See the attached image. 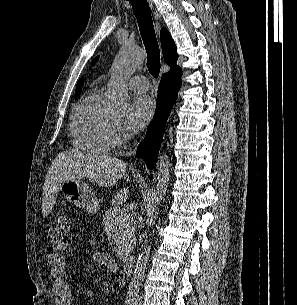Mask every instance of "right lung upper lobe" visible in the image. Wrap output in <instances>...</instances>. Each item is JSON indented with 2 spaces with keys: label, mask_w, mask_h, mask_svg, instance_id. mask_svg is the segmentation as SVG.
Instances as JSON below:
<instances>
[{
  "label": "right lung upper lobe",
  "mask_w": 297,
  "mask_h": 305,
  "mask_svg": "<svg viewBox=\"0 0 297 305\" xmlns=\"http://www.w3.org/2000/svg\"><path fill=\"white\" fill-rule=\"evenodd\" d=\"M160 40H161L163 57H164L166 64H168L170 66V71L179 69L180 67L176 66V62L178 59L177 47H176L174 41L172 40L170 33L167 31V29H165V28L161 29ZM82 86H83V78H81L77 83L76 91H75L76 99L80 94Z\"/></svg>",
  "instance_id": "1"
}]
</instances>
